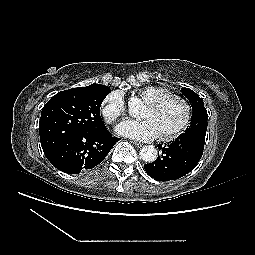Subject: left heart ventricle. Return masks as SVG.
Segmentation results:
<instances>
[{
	"instance_id": "left-heart-ventricle-1",
	"label": "left heart ventricle",
	"mask_w": 255,
	"mask_h": 255,
	"mask_svg": "<svg viewBox=\"0 0 255 255\" xmlns=\"http://www.w3.org/2000/svg\"><path fill=\"white\" fill-rule=\"evenodd\" d=\"M184 112L177 104H169L162 108H155L148 104L141 114V118L154 119L161 130V134L177 127L183 120Z\"/></svg>"
}]
</instances>
